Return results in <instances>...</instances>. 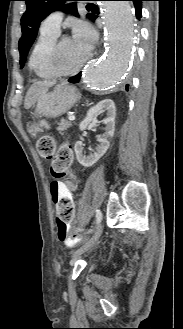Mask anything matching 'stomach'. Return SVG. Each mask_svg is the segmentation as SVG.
Here are the masks:
<instances>
[{"label":"stomach","mask_w":183,"mask_h":329,"mask_svg":"<svg viewBox=\"0 0 183 329\" xmlns=\"http://www.w3.org/2000/svg\"><path fill=\"white\" fill-rule=\"evenodd\" d=\"M79 95L75 89L68 85H58L52 92L42 96L36 105L35 116L56 118L69 111L78 101ZM28 132L35 137L38 128L35 122H30L27 126Z\"/></svg>","instance_id":"1"}]
</instances>
